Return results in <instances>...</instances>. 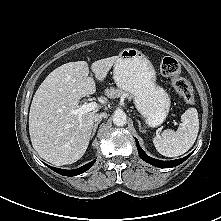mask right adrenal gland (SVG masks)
<instances>
[{
	"instance_id": "obj_1",
	"label": "right adrenal gland",
	"mask_w": 221,
	"mask_h": 221,
	"mask_svg": "<svg viewBox=\"0 0 221 221\" xmlns=\"http://www.w3.org/2000/svg\"><path fill=\"white\" fill-rule=\"evenodd\" d=\"M100 124V121L99 122H96L94 125H93V131H92V134H91V139L94 137L95 133H96V130L98 128V125Z\"/></svg>"
}]
</instances>
